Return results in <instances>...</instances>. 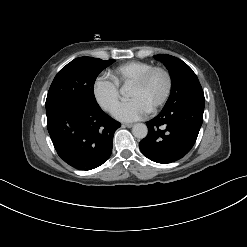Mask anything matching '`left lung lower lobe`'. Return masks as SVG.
Instances as JSON below:
<instances>
[{
    "label": "left lung lower lobe",
    "mask_w": 247,
    "mask_h": 247,
    "mask_svg": "<svg viewBox=\"0 0 247 247\" xmlns=\"http://www.w3.org/2000/svg\"><path fill=\"white\" fill-rule=\"evenodd\" d=\"M204 100H188L162 110L147 122L148 134L139 143L150 160L168 164L186 155L196 142L203 122Z\"/></svg>",
    "instance_id": "obj_1"
}]
</instances>
